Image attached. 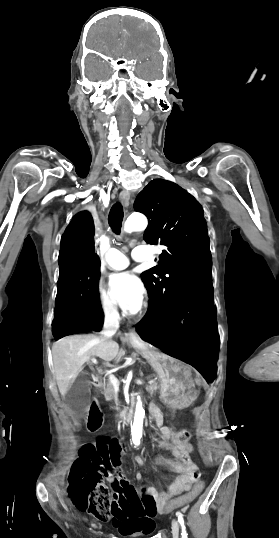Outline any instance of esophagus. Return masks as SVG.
I'll return each mask as SVG.
<instances>
[{"mask_svg":"<svg viewBox=\"0 0 279 538\" xmlns=\"http://www.w3.org/2000/svg\"><path fill=\"white\" fill-rule=\"evenodd\" d=\"M121 202L127 206L129 204L130 193L127 190H122L119 195ZM126 339H139V335L136 333L134 328H130L125 334Z\"/></svg>","mask_w":279,"mask_h":538,"instance_id":"34e87169","label":"esophagus"}]
</instances>
